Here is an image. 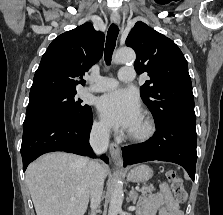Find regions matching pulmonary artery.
<instances>
[{
	"mask_svg": "<svg viewBox=\"0 0 223 215\" xmlns=\"http://www.w3.org/2000/svg\"><path fill=\"white\" fill-rule=\"evenodd\" d=\"M132 69V65H125L124 69L118 71V79L111 77L92 78L94 83L88 89L90 91L102 92L116 88L119 81L131 82L134 79V76L131 73Z\"/></svg>",
	"mask_w": 223,
	"mask_h": 215,
	"instance_id": "pulmonary-artery-1",
	"label": "pulmonary artery"
}]
</instances>
